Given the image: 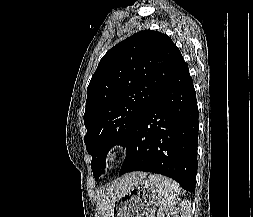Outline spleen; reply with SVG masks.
Masks as SVG:
<instances>
[{
	"mask_svg": "<svg viewBox=\"0 0 253 217\" xmlns=\"http://www.w3.org/2000/svg\"><path fill=\"white\" fill-rule=\"evenodd\" d=\"M148 180L156 187L157 204L160 210L172 204L180 193L179 185L170 178L159 174H151Z\"/></svg>",
	"mask_w": 253,
	"mask_h": 217,
	"instance_id": "3e777b00",
	"label": "spleen"
}]
</instances>
